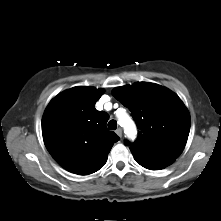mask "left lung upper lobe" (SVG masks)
<instances>
[{
  "label": "left lung upper lobe",
  "mask_w": 221,
  "mask_h": 221,
  "mask_svg": "<svg viewBox=\"0 0 221 221\" xmlns=\"http://www.w3.org/2000/svg\"><path fill=\"white\" fill-rule=\"evenodd\" d=\"M112 93L132 112L140 129L135 144L125 141L134 158L175 161L190 131V115L181 99L168 88L149 82L116 87Z\"/></svg>",
  "instance_id": "1"
}]
</instances>
